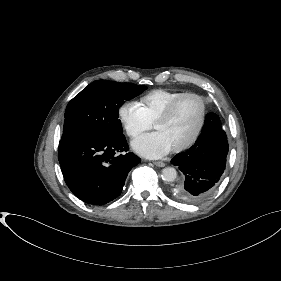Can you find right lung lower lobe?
<instances>
[{
	"label": "right lung lower lobe",
	"mask_w": 281,
	"mask_h": 281,
	"mask_svg": "<svg viewBox=\"0 0 281 281\" xmlns=\"http://www.w3.org/2000/svg\"><path fill=\"white\" fill-rule=\"evenodd\" d=\"M125 136L78 139L60 147L59 163L71 192L88 204L103 205L118 197L129 171L140 158L127 152Z\"/></svg>",
	"instance_id": "right-lung-lower-lobe-1"
}]
</instances>
